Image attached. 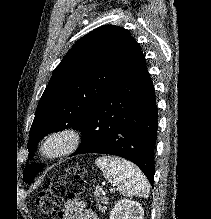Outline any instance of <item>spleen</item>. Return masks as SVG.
Wrapping results in <instances>:
<instances>
[{"label": "spleen", "mask_w": 211, "mask_h": 219, "mask_svg": "<svg viewBox=\"0 0 211 219\" xmlns=\"http://www.w3.org/2000/svg\"><path fill=\"white\" fill-rule=\"evenodd\" d=\"M95 164L122 195L148 198V181L133 163L118 157L103 156L96 159Z\"/></svg>", "instance_id": "3e777b00"}]
</instances>
